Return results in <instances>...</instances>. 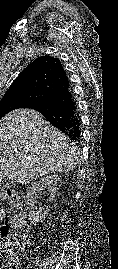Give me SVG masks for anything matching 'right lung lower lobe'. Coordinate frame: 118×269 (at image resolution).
I'll list each match as a JSON object with an SVG mask.
<instances>
[{
  "label": "right lung lower lobe",
  "mask_w": 118,
  "mask_h": 269,
  "mask_svg": "<svg viewBox=\"0 0 118 269\" xmlns=\"http://www.w3.org/2000/svg\"><path fill=\"white\" fill-rule=\"evenodd\" d=\"M26 108L40 112L52 125L79 143L81 121L70 85Z\"/></svg>",
  "instance_id": "1"
}]
</instances>
